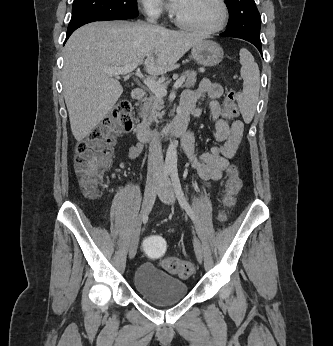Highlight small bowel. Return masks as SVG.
<instances>
[{
  "label": "small bowel",
  "instance_id": "small-bowel-1",
  "mask_svg": "<svg viewBox=\"0 0 333 346\" xmlns=\"http://www.w3.org/2000/svg\"><path fill=\"white\" fill-rule=\"evenodd\" d=\"M222 86L212 83L208 78H203L196 89L183 93L179 116H200L202 109L197 106L198 101L208 100L211 119L215 127V139L219 145L214 146L209 152H205L197 159L195 156L196 138L193 132L182 140V149L185 156L195 169V176L206 185L218 182L223 177L229 166V159L240 149L244 125L240 120L228 123L223 118V110L219 103L222 94ZM140 144H134L128 149V159H135L141 153Z\"/></svg>",
  "mask_w": 333,
  "mask_h": 346
}]
</instances>
